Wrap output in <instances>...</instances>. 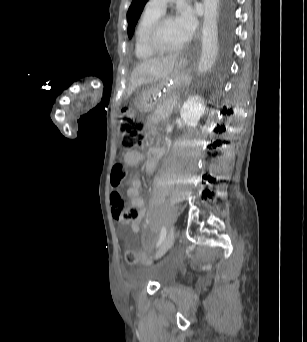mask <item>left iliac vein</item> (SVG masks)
<instances>
[{"mask_svg":"<svg viewBox=\"0 0 307 342\" xmlns=\"http://www.w3.org/2000/svg\"><path fill=\"white\" fill-rule=\"evenodd\" d=\"M174 238H175V229L174 227H171L167 236L165 237V239L163 240L159 249L156 252V255H155L156 259L161 258L171 248L174 242Z\"/></svg>","mask_w":307,"mask_h":342,"instance_id":"4c4485c4","label":"left iliac vein"}]
</instances>
